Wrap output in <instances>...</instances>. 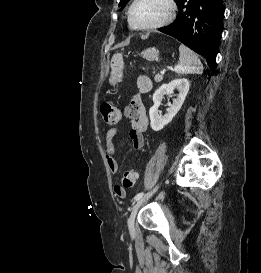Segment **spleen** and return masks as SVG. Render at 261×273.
Masks as SVG:
<instances>
[{
	"instance_id": "spleen-1",
	"label": "spleen",
	"mask_w": 261,
	"mask_h": 273,
	"mask_svg": "<svg viewBox=\"0 0 261 273\" xmlns=\"http://www.w3.org/2000/svg\"><path fill=\"white\" fill-rule=\"evenodd\" d=\"M179 64L175 65L177 74H202L203 65L198 56L185 45L179 46Z\"/></svg>"
}]
</instances>
